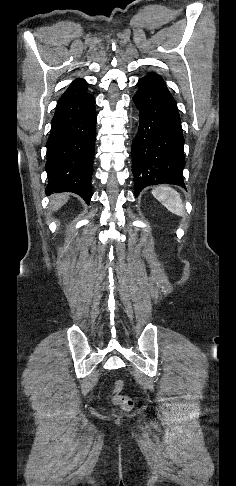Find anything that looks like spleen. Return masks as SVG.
Returning a JSON list of instances; mask_svg holds the SVG:
<instances>
[{
	"label": "spleen",
	"mask_w": 236,
	"mask_h": 486,
	"mask_svg": "<svg viewBox=\"0 0 236 486\" xmlns=\"http://www.w3.org/2000/svg\"><path fill=\"white\" fill-rule=\"evenodd\" d=\"M152 195L160 201L170 212L182 216L184 206L180 195L174 189L167 186H160L152 190Z\"/></svg>",
	"instance_id": "3e777b00"
}]
</instances>
